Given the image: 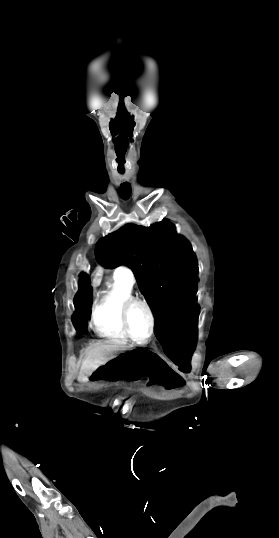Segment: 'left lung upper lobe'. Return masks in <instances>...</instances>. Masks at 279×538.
<instances>
[{
	"instance_id": "1",
	"label": "left lung upper lobe",
	"mask_w": 279,
	"mask_h": 538,
	"mask_svg": "<svg viewBox=\"0 0 279 538\" xmlns=\"http://www.w3.org/2000/svg\"><path fill=\"white\" fill-rule=\"evenodd\" d=\"M95 257L104 267L126 265L133 270L156 318L155 332L196 329L197 259L171 222L126 224L99 240Z\"/></svg>"
}]
</instances>
